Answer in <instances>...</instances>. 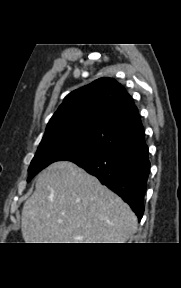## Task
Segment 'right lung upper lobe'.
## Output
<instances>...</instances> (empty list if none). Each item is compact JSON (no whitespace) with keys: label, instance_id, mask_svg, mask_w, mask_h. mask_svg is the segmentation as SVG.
Wrapping results in <instances>:
<instances>
[{"label":"right lung upper lobe","instance_id":"1","mask_svg":"<svg viewBox=\"0 0 181 288\" xmlns=\"http://www.w3.org/2000/svg\"><path fill=\"white\" fill-rule=\"evenodd\" d=\"M81 137L108 151L145 143L132 97L112 78L69 93L50 119L42 140Z\"/></svg>","mask_w":181,"mask_h":288}]
</instances>
